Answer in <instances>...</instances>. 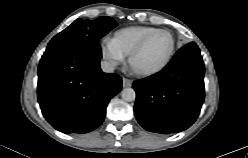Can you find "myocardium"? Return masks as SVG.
<instances>
[{
  "instance_id": "1",
  "label": "myocardium",
  "mask_w": 248,
  "mask_h": 158,
  "mask_svg": "<svg viewBox=\"0 0 248 158\" xmlns=\"http://www.w3.org/2000/svg\"><path fill=\"white\" fill-rule=\"evenodd\" d=\"M156 33H165L170 37L171 48L169 50L168 55L166 56V58L164 59V61L161 64H159L158 66H156L154 68L144 69V70H139V69L134 68V66H133L134 59L143 50V48L145 47L148 40ZM175 50H176V39H175L174 35L166 29H155V30L149 32L148 34H146L140 40V42L136 45V47L129 54L128 62H129L130 67L133 69V71L136 74L141 75V76H152V75H155V74L161 72L162 70H164L167 67V65L170 63V61H171V59L175 53Z\"/></svg>"
}]
</instances>
